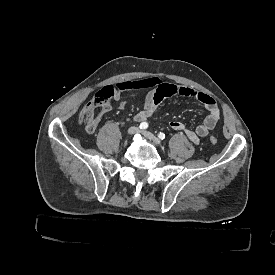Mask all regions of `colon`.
<instances>
[{"label":"colon","mask_w":275,"mask_h":275,"mask_svg":"<svg viewBox=\"0 0 275 275\" xmlns=\"http://www.w3.org/2000/svg\"><path fill=\"white\" fill-rule=\"evenodd\" d=\"M108 106H109L108 101H105L103 99H95L94 103L90 107L85 108L80 113V117H79L80 124L85 125L86 121L94 122L99 120V118L105 113ZM217 141H218L217 136L212 135L209 137V142L211 144H216Z\"/></svg>","instance_id":"1"}]
</instances>
